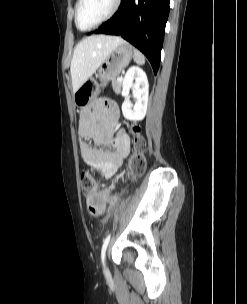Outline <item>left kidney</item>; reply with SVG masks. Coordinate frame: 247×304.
<instances>
[{"label": "left kidney", "mask_w": 247, "mask_h": 304, "mask_svg": "<svg viewBox=\"0 0 247 304\" xmlns=\"http://www.w3.org/2000/svg\"><path fill=\"white\" fill-rule=\"evenodd\" d=\"M135 80V83L133 81ZM133 87V95L136 103L133 106L129 100V89ZM149 84L146 73L139 67H131L123 79L122 96L125 98L122 104L123 116L131 121H141L144 119L148 104Z\"/></svg>", "instance_id": "1"}]
</instances>
